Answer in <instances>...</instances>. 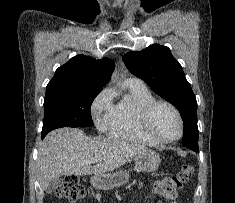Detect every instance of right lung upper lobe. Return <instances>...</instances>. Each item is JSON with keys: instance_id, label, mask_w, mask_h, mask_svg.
I'll use <instances>...</instances> for the list:
<instances>
[{"instance_id": "cb5924a9", "label": "right lung upper lobe", "mask_w": 235, "mask_h": 203, "mask_svg": "<svg viewBox=\"0 0 235 203\" xmlns=\"http://www.w3.org/2000/svg\"><path fill=\"white\" fill-rule=\"evenodd\" d=\"M115 63L109 58L96 60L77 55L59 67L46 88L63 86H89L101 88L111 77Z\"/></svg>"}]
</instances>
